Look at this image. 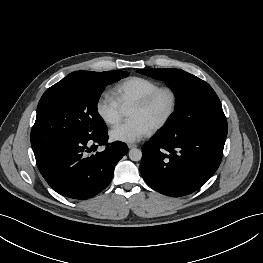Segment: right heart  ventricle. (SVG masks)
Returning <instances> with one entry per match:
<instances>
[{"label": "right heart ventricle", "instance_id": "right-heart-ventricle-1", "mask_svg": "<svg viewBox=\"0 0 263 263\" xmlns=\"http://www.w3.org/2000/svg\"><path fill=\"white\" fill-rule=\"evenodd\" d=\"M158 87H160V84L152 79L135 76L117 84L113 90V94L122 108H127Z\"/></svg>", "mask_w": 263, "mask_h": 263}]
</instances>
